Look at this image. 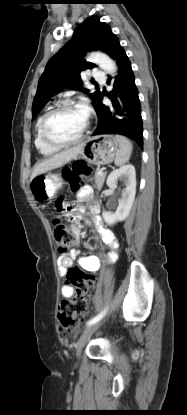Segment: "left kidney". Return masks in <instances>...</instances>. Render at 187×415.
Instances as JSON below:
<instances>
[{
  "label": "left kidney",
  "mask_w": 187,
  "mask_h": 415,
  "mask_svg": "<svg viewBox=\"0 0 187 415\" xmlns=\"http://www.w3.org/2000/svg\"><path fill=\"white\" fill-rule=\"evenodd\" d=\"M124 182L125 188L122 190V198L118 200V207L115 213L103 211L102 217L106 224L113 225L118 221L125 220L132 208L136 194V171L133 165H125L113 170L106 181L111 189L117 188V181Z\"/></svg>",
  "instance_id": "obj_1"
}]
</instances>
